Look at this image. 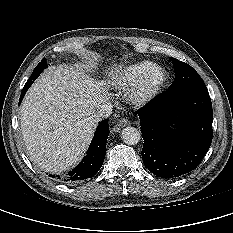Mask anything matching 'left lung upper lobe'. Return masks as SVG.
<instances>
[{
  "label": "left lung upper lobe",
  "instance_id": "5c2ea615",
  "mask_svg": "<svg viewBox=\"0 0 233 233\" xmlns=\"http://www.w3.org/2000/svg\"><path fill=\"white\" fill-rule=\"evenodd\" d=\"M175 69V80L167 90L174 91L185 88H206L199 74L187 63L171 58Z\"/></svg>",
  "mask_w": 233,
  "mask_h": 233
}]
</instances>
